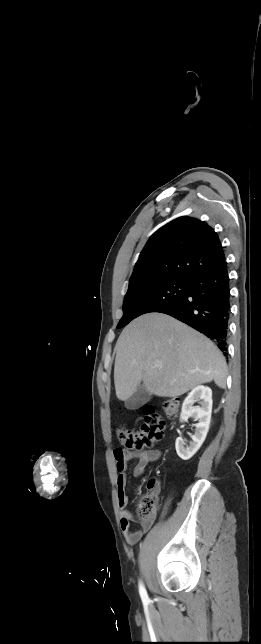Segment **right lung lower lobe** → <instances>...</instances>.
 <instances>
[{
  "label": "right lung lower lobe",
  "mask_w": 261,
  "mask_h": 644,
  "mask_svg": "<svg viewBox=\"0 0 261 644\" xmlns=\"http://www.w3.org/2000/svg\"><path fill=\"white\" fill-rule=\"evenodd\" d=\"M168 314L213 340L226 355L230 317V287L227 263L195 274L188 291L173 306L158 311Z\"/></svg>",
  "instance_id": "right-lung-lower-lobe-1"
}]
</instances>
